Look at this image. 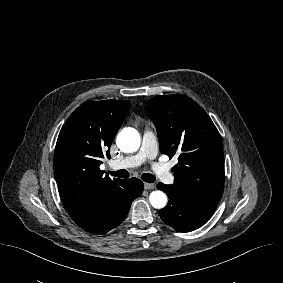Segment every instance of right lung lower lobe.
Here are the masks:
<instances>
[{"label":"right lung lower lobe","mask_w":283,"mask_h":283,"mask_svg":"<svg viewBox=\"0 0 283 283\" xmlns=\"http://www.w3.org/2000/svg\"><path fill=\"white\" fill-rule=\"evenodd\" d=\"M143 192V183L138 178L124 180L108 200L90 218L77 224L94 234H103L118 226L127 216L132 201Z\"/></svg>","instance_id":"98d812e1"}]
</instances>
